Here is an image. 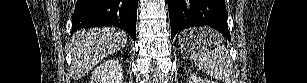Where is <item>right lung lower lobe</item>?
Here are the masks:
<instances>
[{
  "label": "right lung lower lobe",
  "instance_id": "right-lung-lower-lobe-1",
  "mask_svg": "<svg viewBox=\"0 0 307 83\" xmlns=\"http://www.w3.org/2000/svg\"><path fill=\"white\" fill-rule=\"evenodd\" d=\"M138 0H77L72 16V31L115 25L135 41Z\"/></svg>",
  "mask_w": 307,
  "mask_h": 83
}]
</instances>
